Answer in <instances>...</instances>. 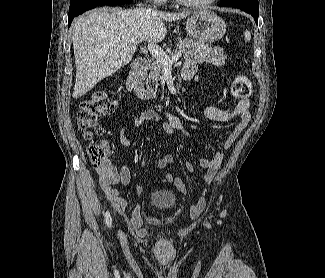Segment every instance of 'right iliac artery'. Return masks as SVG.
<instances>
[{
  "instance_id": "right-iliac-artery-1",
  "label": "right iliac artery",
  "mask_w": 325,
  "mask_h": 278,
  "mask_svg": "<svg viewBox=\"0 0 325 278\" xmlns=\"http://www.w3.org/2000/svg\"><path fill=\"white\" fill-rule=\"evenodd\" d=\"M105 221H106L107 226L110 227L111 223H112V220H111L109 212H106V214H105Z\"/></svg>"
}]
</instances>
